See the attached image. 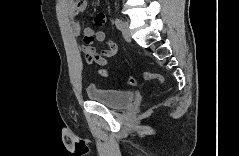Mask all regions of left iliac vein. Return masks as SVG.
Masks as SVG:
<instances>
[{"label": "left iliac vein", "instance_id": "left-iliac-vein-1", "mask_svg": "<svg viewBox=\"0 0 239 156\" xmlns=\"http://www.w3.org/2000/svg\"><path fill=\"white\" fill-rule=\"evenodd\" d=\"M122 35L126 41H131L129 24L126 21L122 22Z\"/></svg>", "mask_w": 239, "mask_h": 156}]
</instances>
